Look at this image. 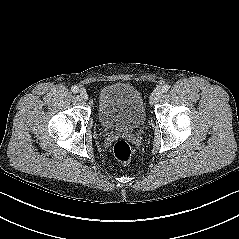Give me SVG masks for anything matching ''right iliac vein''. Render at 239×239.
Masks as SVG:
<instances>
[{
  "label": "right iliac vein",
  "mask_w": 239,
  "mask_h": 239,
  "mask_svg": "<svg viewBox=\"0 0 239 239\" xmlns=\"http://www.w3.org/2000/svg\"><path fill=\"white\" fill-rule=\"evenodd\" d=\"M79 95L84 101L88 100V94L84 89H80Z\"/></svg>",
  "instance_id": "1"
}]
</instances>
